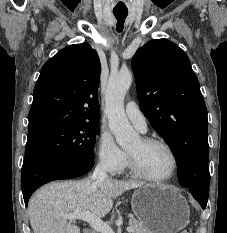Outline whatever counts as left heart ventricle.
Masks as SVG:
<instances>
[{
  "label": "left heart ventricle",
  "instance_id": "left-heart-ventricle-1",
  "mask_svg": "<svg viewBox=\"0 0 227 233\" xmlns=\"http://www.w3.org/2000/svg\"><path fill=\"white\" fill-rule=\"evenodd\" d=\"M128 152L136 159L139 166L152 176H166L172 170L171 155L161 145H145L141 139H138L128 148Z\"/></svg>",
  "mask_w": 227,
  "mask_h": 233
}]
</instances>
